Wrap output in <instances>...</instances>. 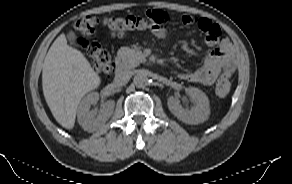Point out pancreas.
Returning a JSON list of instances; mask_svg holds the SVG:
<instances>
[{
	"mask_svg": "<svg viewBox=\"0 0 292 184\" xmlns=\"http://www.w3.org/2000/svg\"><path fill=\"white\" fill-rule=\"evenodd\" d=\"M118 58L121 60V66L124 69H131L144 61L145 57L139 49H130L122 47L118 51Z\"/></svg>",
	"mask_w": 292,
	"mask_h": 184,
	"instance_id": "pancreas-1",
	"label": "pancreas"
}]
</instances>
